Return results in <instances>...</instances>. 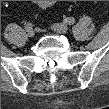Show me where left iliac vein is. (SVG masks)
<instances>
[{
	"label": "left iliac vein",
	"mask_w": 109,
	"mask_h": 109,
	"mask_svg": "<svg viewBox=\"0 0 109 109\" xmlns=\"http://www.w3.org/2000/svg\"><path fill=\"white\" fill-rule=\"evenodd\" d=\"M52 29L57 33H66L68 31V27L65 24L57 23L52 26Z\"/></svg>",
	"instance_id": "4c4485c4"
}]
</instances>
